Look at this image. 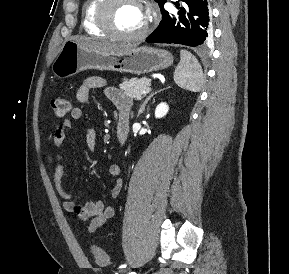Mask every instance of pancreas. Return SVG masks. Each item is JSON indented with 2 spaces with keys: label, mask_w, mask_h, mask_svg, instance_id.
<instances>
[{
  "label": "pancreas",
  "mask_w": 289,
  "mask_h": 274,
  "mask_svg": "<svg viewBox=\"0 0 289 274\" xmlns=\"http://www.w3.org/2000/svg\"><path fill=\"white\" fill-rule=\"evenodd\" d=\"M150 85L148 79H131L124 80L120 85V90L129 98L141 100L144 94H141Z\"/></svg>",
  "instance_id": "cf45deb5"
}]
</instances>
